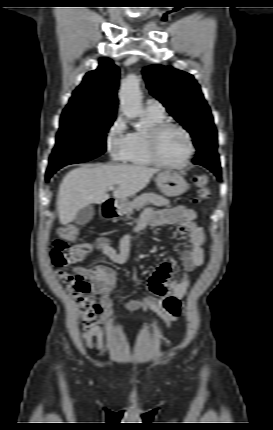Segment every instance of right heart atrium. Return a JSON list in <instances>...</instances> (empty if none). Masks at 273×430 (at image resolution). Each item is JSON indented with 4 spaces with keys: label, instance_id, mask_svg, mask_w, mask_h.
Wrapping results in <instances>:
<instances>
[{
    "label": "right heart atrium",
    "instance_id": "right-heart-atrium-1",
    "mask_svg": "<svg viewBox=\"0 0 273 430\" xmlns=\"http://www.w3.org/2000/svg\"><path fill=\"white\" fill-rule=\"evenodd\" d=\"M106 148L115 161L124 162L127 160L132 148V133L128 131L122 116H118L109 126L106 138Z\"/></svg>",
    "mask_w": 273,
    "mask_h": 430
}]
</instances>
